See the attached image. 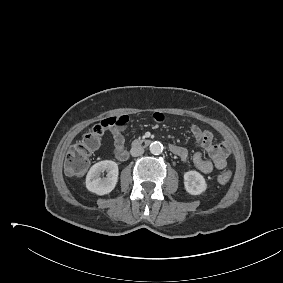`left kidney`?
I'll use <instances>...</instances> for the list:
<instances>
[{"label":"left kidney","instance_id":"left-kidney-1","mask_svg":"<svg viewBox=\"0 0 283 283\" xmlns=\"http://www.w3.org/2000/svg\"><path fill=\"white\" fill-rule=\"evenodd\" d=\"M184 186L186 191L191 195H200L207 189L204 177L194 170L184 174Z\"/></svg>","mask_w":283,"mask_h":283}]
</instances>
